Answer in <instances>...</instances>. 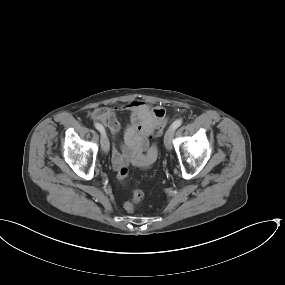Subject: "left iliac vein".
Listing matches in <instances>:
<instances>
[{
    "mask_svg": "<svg viewBox=\"0 0 285 285\" xmlns=\"http://www.w3.org/2000/svg\"><path fill=\"white\" fill-rule=\"evenodd\" d=\"M174 132H175V129L170 127L165 134L164 145L167 150H171L172 148V138H173Z\"/></svg>",
    "mask_w": 285,
    "mask_h": 285,
    "instance_id": "left-iliac-vein-1",
    "label": "left iliac vein"
}]
</instances>
